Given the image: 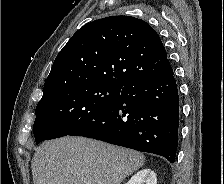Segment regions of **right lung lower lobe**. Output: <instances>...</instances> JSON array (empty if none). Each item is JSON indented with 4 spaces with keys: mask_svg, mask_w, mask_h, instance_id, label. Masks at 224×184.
<instances>
[{
    "mask_svg": "<svg viewBox=\"0 0 224 184\" xmlns=\"http://www.w3.org/2000/svg\"><path fill=\"white\" fill-rule=\"evenodd\" d=\"M179 95L173 70L127 84L102 113L69 135L161 155L174 163Z\"/></svg>",
    "mask_w": 224,
    "mask_h": 184,
    "instance_id": "right-lung-lower-lobe-1",
    "label": "right lung lower lobe"
}]
</instances>
